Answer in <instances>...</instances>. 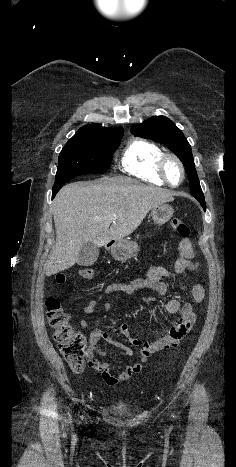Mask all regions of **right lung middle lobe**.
<instances>
[{
  "label": "right lung middle lobe",
  "mask_w": 236,
  "mask_h": 467,
  "mask_svg": "<svg viewBox=\"0 0 236 467\" xmlns=\"http://www.w3.org/2000/svg\"><path fill=\"white\" fill-rule=\"evenodd\" d=\"M122 136L123 133L73 136L59 154L54 186L63 185L78 175L105 173Z\"/></svg>",
  "instance_id": "1"
}]
</instances>
